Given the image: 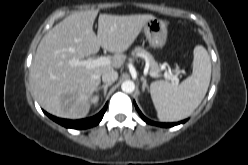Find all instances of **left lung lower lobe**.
Listing matches in <instances>:
<instances>
[{"mask_svg":"<svg viewBox=\"0 0 248 165\" xmlns=\"http://www.w3.org/2000/svg\"><path fill=\"white\" fill-rule=\"evenodd\" d=\"M134 104H135V107H136V109L138 110V112H139L141 118H142L145 122H147V123H149V124L157 125V126H160V127H172V126H175V125H177V124H180V123H184V122H185V120H184V121H181V122H178V123H156V122L150 121L149 119H147V118L141 113V111L138 109V107H137V105H136L135 102H134Z\"/></svg>","mask_w":248,"mask_h":165,"instance_id":"1","label":"left lung lower lobe"}]
</instances>
